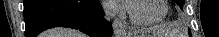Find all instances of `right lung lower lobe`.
<instances>
[{
    "instance_id": "98d812e1",
    "label": "right lung lower lobe",
    "mask_w": 219,
    "mask_h": 37,
    "mask_svg": "<svg viewBox=\"0 0 219 37\" xmlns=\"http://www.w3.org/2000/svg\"><path fill=\"white\" fill-rule=\"evenodd\" d=\"M25 37L57 26L79 29L91 37H110L98 0H24Z\"/></svg>"
}]
</instances>
